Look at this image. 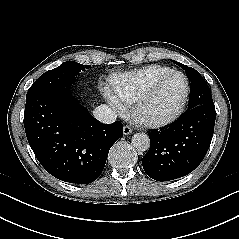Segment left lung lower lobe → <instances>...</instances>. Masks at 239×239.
<instances>
[{
    "mask_svg": "<svg viewBox=\"0 0 239 239\" xmlns=\"http://www.w3.org/2000/svg\"><path fill=\"white\" fill-rule=\"evenodd\" d=\"M215 117L214 104L199 105L186 111L168 129L149 133L150 149L142 160L147 175L168 181L196 169L209 149Z\"/></svg>",
    "mask_w": 239,
    "mask_h": 239,
    "instance_id": "1",
    "label": "left lung lower lobe"
}]
</instances>
